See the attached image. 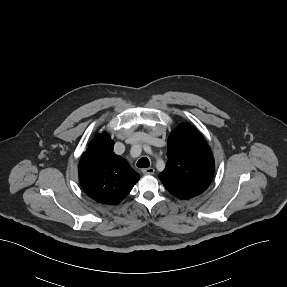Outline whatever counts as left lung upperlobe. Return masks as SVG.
<instances>
[{
    "mask_svg": "<svg viewBox=\"0 0 287 287\" xmlns=\"http://www.w3.org/2000/svg\"><path fill=\"white\" fill-rule=\"evenodd\" d=\"M168 162L159 179L179 199L199 195L214 174V158L203 136L191 125L178 126L168 138Z\"/></svg>",
    "mask_w": 287,
    "mask_h": 287,
    "instance_id": "5c2ea615",
    "label": "left lung upper lobe"
}]
</instances>
